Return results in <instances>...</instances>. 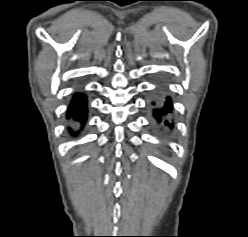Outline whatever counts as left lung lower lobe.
Masks as SVG:
<instances>
[{
  "mask_svg": "<svg viewBox=\"0 0 248 237\" xmlns=\"http://www.w3.org/2000/svg\"><path fill=\"white\" fill-rule=\"evenodd\" d=\"M157 106V108L154 109V116L158 122H162L163 124L169 126V122L167 120L162 119V116L169 113L172 109V104L170 102V99L168 98L167 101L164 103L161 101H157L156 103H153Z\"/></svg>",
  "mask_w": 248,
  "mask_h": 237,
  "instance_id": "1",
  "label": "left lung lower lobe"
}]
</instances>
